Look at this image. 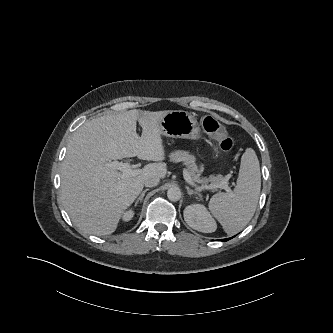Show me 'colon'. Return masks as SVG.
Wrapping results in <instances>:
<instances>
[{
  "label": "colon",
  "mask_w": 333,
  "mask_h": 333,
  "mask_svg": "<svg viewBox=\"0 0 333 333\" xmlns=\"http://www.w3.org/2000/svg\"><path fill=\"white\" fill-rule=\"evenodd\" d=\"M204 130L212 135L219 148L222 151H229L233 147V140L226 131V129L212 116H205L202 120Z\"/></svg>",
  "instance_id": "obj_1"
}]
</instances>
